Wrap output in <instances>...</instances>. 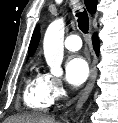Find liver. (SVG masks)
Listing matches in <instances>:
<instances>
[{
	"label": "liver",
	"mask_w": 118,
	"mask_h": 123,
	"mask_svg": "<svg viewBox=\"0 0 118 123\" xmlns=\"http://www.w3.org/2000/svg\"><path fill=\"white\" fill-rule=\"evenodd\" d=\"M4 123H58V122H56L52 117L33 113L10 117L6 119Z\"/></svg>",
	"instance_id": "1"
}]
</instances>
